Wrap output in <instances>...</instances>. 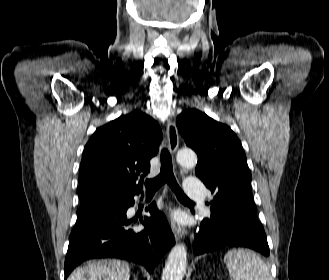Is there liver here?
I'll use <instances>...</instances> for the list:
<instances>
[{
  "label": "liver",
  "instance_id": "1",
  "mask_svg": "<svg viewBox=\"0 0 329 280\" xmlns=\"http://www.w3.org/2000/svg\"><path fill=\"white\" fill-rule=\"evenodd\" d=\"M129 264L120 260L88 262L72 273L68 280H129Z\"/></svg>",
  "mask_w": 329,
  "mask_h": 280
}]
</instances>
